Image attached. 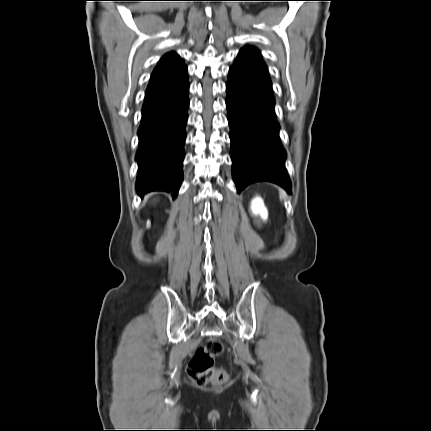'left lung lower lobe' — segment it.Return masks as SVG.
<instances>
[{
    "label": "left lung lower lobe",
    "instance_id": "1",
    "mask_svg": "<svg viewBox=\"0 0 431 431\" xmlns=\"http://www.w3.org/2000/svg\"><path fill=\"white\" fill-rule=\"evenodd\" d=\"M226 84L232 175L237 192L258 181L291 191L268 71L234 64Z\"/></svg>",
    "mask_w": 431,
    "mask_h": 431
}]
</instances>
